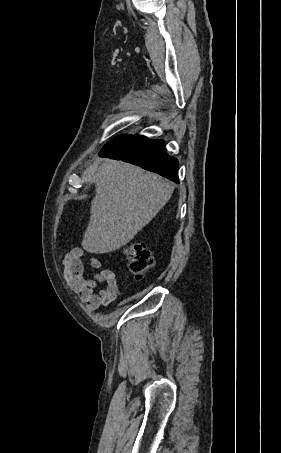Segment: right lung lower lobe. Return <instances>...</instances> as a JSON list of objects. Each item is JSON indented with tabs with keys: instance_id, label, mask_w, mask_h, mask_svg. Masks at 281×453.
I'll list each match as a JSON object with an SVG mask.
<instances>
[{
	"instance_id": "obj_1",
	"label": "right lung lower lobe",
	"mask_w": 281,
	"mask_h": 453,
	"mask_svg": "<svg viewBox=\"0 0 281 453\" xmlns=\"http://www.w3.org/2000/svg\"><path fill=\"white\" fill-rule=\"evenodd\" d=\"M99 155L138 165L179 182L178 161L168 155L162 140H151L140 135L118 136L108 142Z\"/></svg>"
}]
</instances>
